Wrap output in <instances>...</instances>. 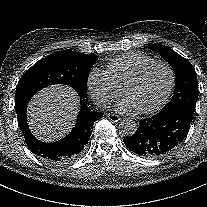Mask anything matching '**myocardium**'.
Returning <instances> with one entry per match:
<instances>
[{"mask_svg":"<svg viewBox=\"0 0 207 207\" xmlns=\"http://www.w3.org/2000/svg\"><path fill=\"white\" fill-rule=\"evenodd\" d=\"M155 65H161L164 68L167 69L169 75H170V83L167 89V92L162 100V102L154 109L148 110V111H142V112H137V115L139 116H150L153 115L157 112H159L162 108H164L172 94L175 88V83H176V76H175V72L173 70V68L171 67V65L163 60H153L149 63H147L146 65H144L143 67H141L134 75H132L123 85L122 87V96L124 98H126V94H127V90L129 87L133 86L134 84H136L139 80H141V78L145 75V73L153 66Z\"/></svg>","mask_w":207,"mask_h":207,"instance_id":"1","label":"myocardium"}]
</instances>
